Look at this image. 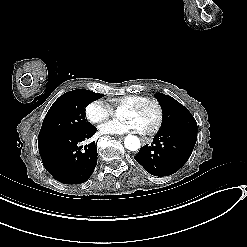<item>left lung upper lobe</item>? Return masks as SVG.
Masks as SVG:
<instances>
[{"label":"left lung upper lobe","instance_id":"obj_1","mask_svg":"<svg viewBox=\"0 0 247 247\" xmlns=\"http://www.w3.org/2000/svg\"><path fill=\"white\" fill-rule=\"evenodd\" d=\"M155 97L160 102L164 113L163 126L160 131L198 132L197 123L186 107L163 93H158Z\"/></svg>","mask_w":247,"mask_h":247}]
</instances>
